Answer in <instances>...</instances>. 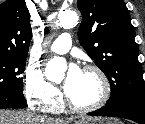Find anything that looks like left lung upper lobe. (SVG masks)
Returning a JSON list of instances; mask_svg holds the SVG:
<instances>
[{
	"label": "left lung upper lobe",
	"mask_w": 145,
	"mask_h": 124,
	"mask_svg": "<svg viewBox=\"0 0 145 124\" xmlns=\"http://www.w3.org/2000/svg\"><path fill=\"white\" fill-rule=\"evenodd\" d=\"M80 44L111 85L106 105L125 100L145 104V86L130 13L123 0H78Z\"/></svg>",
	"instance_id": "1"
}]
</instances>
